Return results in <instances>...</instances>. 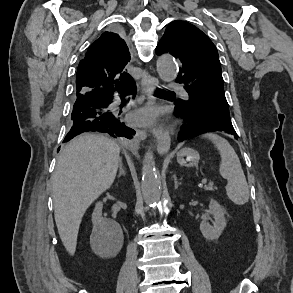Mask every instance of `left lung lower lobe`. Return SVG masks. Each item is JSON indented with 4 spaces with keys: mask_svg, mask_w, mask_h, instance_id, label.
<instances>
[{
    "mask_svg": "<svg viewBox=\"0 0 293 293\" xmlns=\"http://www.w3.org/2000/svg\"><path fill=\"white\" fill-rule=\"evenodd\" d=\"M171 100L174 101L175 112L187 122L185 129L179 134L178 140L180 142L191 136L216 130L237 135L230 117L223 114L205 116L200 112L198 103L193 99L182 100L173 95Z\"/></svg>",
    "mask_w": 293,
    "mask_h": 293,
    "instance_id": "left-lung-lower-lobe-1",
    "label": "left lung lower lobe"
}]
</instances>
